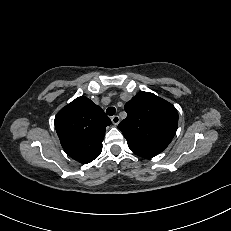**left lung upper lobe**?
Returning <instances> with one entry per match:
<instances>
[{"label":"left lung upper lobe","instance_id":"left-lung-upper-lobe-1","mask_svg":"<svg viewBox=\"0 0 231 231\" xmlns=\"http://www.w3.org/2000/svg\"><path fill=\"white\" fill-rule=\"evenodd\" d=\"M124 108L127 117L118 127L130 150L144 158H152L165 150L177 130L176 108L149 92L138 93Z\"/></svg>","mask_w":231,"mask_h":231}]
</instances>
